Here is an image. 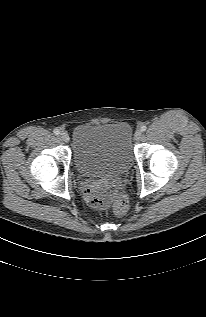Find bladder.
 <instances>
[{"label":"bladder","mask_w":206,"mask_h":317,"mask_svg":"<svg viewBox=\"0 0 206 317\" xmlns=\"http://www.w3.org/2000/svg\"><path fill=\"white\" fill-rule=\"evenodd\" d=\"M132 128L125 122L81 124L73 132V163L89 180L123 175L133 163Z\"/></svg>","instance_id":"31cf9c89"}]
</instances>
